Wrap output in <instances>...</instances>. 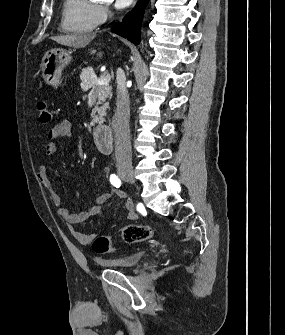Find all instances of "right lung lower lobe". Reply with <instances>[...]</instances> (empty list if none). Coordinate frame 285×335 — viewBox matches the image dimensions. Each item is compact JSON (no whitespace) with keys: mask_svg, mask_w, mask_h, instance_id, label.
<instances>
[{"mask_svg":"<svg viewBox=\"0 0 285 335\" xmlns=\"http://www.w3.org/2000/svg\"><path fill=\"white\" fill-rule=\"evenodd\" d=\"M148 1L149 0H140L136 8L124 17L122 23L115 24L113 32L124 38H127L134 44H139L141 39V21Z\"/></svg>","mask_w":285,"mask_h":335,"instance_id":"1","label":"right lung lower lobe"}]
</instances>
